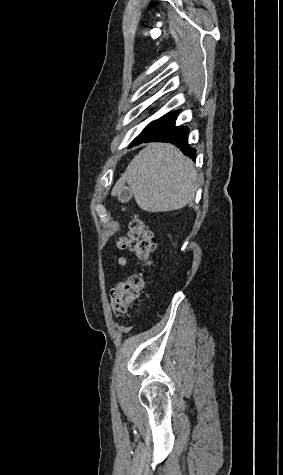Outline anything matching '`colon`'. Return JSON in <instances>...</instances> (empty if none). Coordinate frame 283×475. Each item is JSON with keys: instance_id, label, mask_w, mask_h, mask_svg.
<instances>
[{"instance_id": "obj_1", "label": "colon", "mask_w": 283, "mask_h": 475, "mask_svg": "<svg viewBox=\"0 0 283 475\" xmlns=\"http://www.w3.org/2000/svg\"><path fill=\"white\" fill-rule=\"evenodd\" d=\"M154 238L147 225L140 219H133L130 223L128 239L120 237L116 241L119 250L129 248L139 261L148 262L154 251ZM121 263H126L124 257ZM143 288V277L140 274H131L119 280L110 293V305L117 315H124L138 301Z\"/></svg>"}]
</instances>
